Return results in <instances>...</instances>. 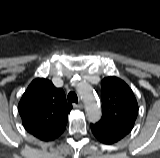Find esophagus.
I'll return each mask as SVG.
<instances>
[{
	"instance_id": "esophagus-1",
	"label": "esophagus",
	"mask_w": 160,
	"mask_h": 158,
	"mask_svg": "<svg viewBox=\"0 0 160 158\" xmlns=\"http://www.w3.org/2000/svg\"><path fill=\"white\" fill-rule=\"evenodd\" d=\"M74 107L78 108V109H82L84 107L82 102H79L78 104H74Z\"/></svg>"
}]
</instances>
